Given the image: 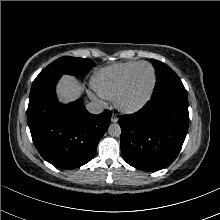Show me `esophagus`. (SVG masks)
I'll return each mask as SVG.
<instances>
[{"mask_svg": "<svg viewBox=\"0 0 220 220\" xmlns=\"http://www.w3.org/2000/svg\"><path fill=\"white\" fill-rule=\"evenodd\" d=\"M118 121V117L115 114H112L111 122L116 123Z\"/></svg>", "mask_w": 220, "mask_h": 220, "instance_id": "34e87169", "label": "esophagus"}]
</instances>
